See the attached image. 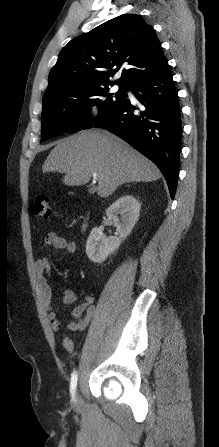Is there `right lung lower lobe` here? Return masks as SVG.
Wrapping results in <instances>:
<instances>
[{"label": "right lung lower lobe", "instance_id": "98d812e1", "mask_svg": "<svg viewBox=\"0 0 219 447\" xmlns=\"http://www.w3.org/2000/svg\"><path fill=\"white\" fill-rule=\"evenodd\" d=\"M140 106L129 99L91 124L104 128L154 162L173 199L182 139L181 108L173 75L167 65L162 74L130 89Z\"/></svg>", "mask_w": 219, "mask_h": 447}]
</instances>
